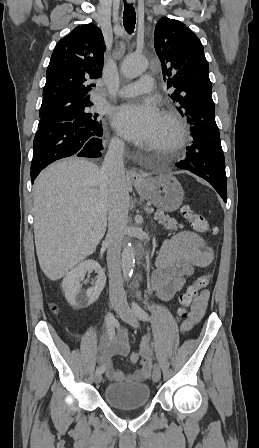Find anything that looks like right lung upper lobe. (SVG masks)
<instances>
[{"instance_id":"right-lung-upper-lobe-1","label":"right lung upper lobe","mask_w":259,"mask_h":448,"mask_svg":"<svg viewBox=\"0 0 259 448\" xmlns=\"http://www.w3.org/2000/svg\"><path fill=\"white\" fill-rule=\"evenodd\" d=\"M104 38L95 24L76 27L61 39L46 71L39 114L92 104V80L102 75Z\"/></svg>"}]
</instances>
